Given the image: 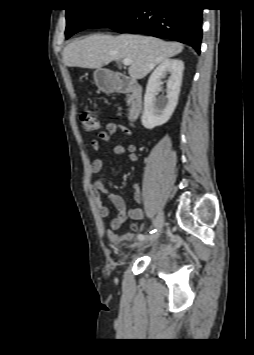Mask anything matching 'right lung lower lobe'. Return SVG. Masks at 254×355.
Wrapping results in <instances>:
<instances>
[{"label": "right lung lower lobe", "instance_id": "right-lung-lower-lobe-1", "mask_svg": "<svg viewBox=\"0 0 254 355\" xmlns=\"http://www.w3.org/2000/svg\"><path fill=\"white\" fill-rule=\"evenodd\" d=\"M108 28L189 44L200 53L202 8L198 0H157L129 5Z\"/></svg>", "mask_w": 254, "mask_h": 355}]
</instances>
